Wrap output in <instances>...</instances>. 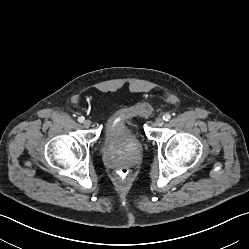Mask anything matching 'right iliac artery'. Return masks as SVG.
Here are the masks:
<instances>
[{
	"label": "right iliac artery",
	"mask_w": 249,
	"mask_h": 249,
	"mask_svg": "<svg viewBox=\"0 0 249 249\" xmlns=\"http://www.w3.org/2000/svg\"><path fill=\"white\" fill-rule=\"evenodd\" d=\"M84 120H85V118L83 116H81V117L78 118V122H80V123H83Z\"/></svg>",
	"instance_id": "right-iliac-artery-1"
}]
</instances>
